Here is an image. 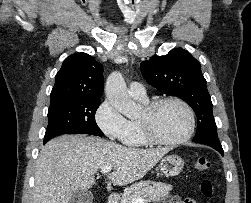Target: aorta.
Segmentation results:
<instances>
[{"instance_id":"obj_1","label":"aorta","mask_w":251,"mask_h":203,"mask_svg":"<svg viewBox=\"0 0 251 203\" xmlns=\"http://www.w3.org/2000/svg\"><path fill=\"white\" fill-rule=\"evenodd\" d=\"M105 94L110 104L128 118L139 113V106L127 93L126 83L120 72H112L106 81Z\"/></svg>"}]
</instances>
